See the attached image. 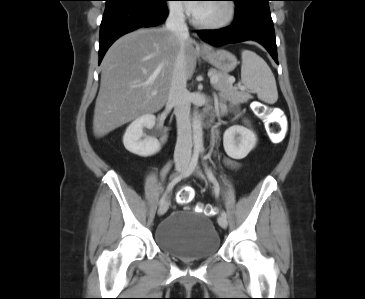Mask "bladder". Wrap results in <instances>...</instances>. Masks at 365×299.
Instances as JSON below:
<instances>
[{"instance_id": "obj_1", "label": "bladder", "mask_w": 365, "mask_h": 299, "mask_svg": "<svg viewBox=\"0 0 365 299\" xmlns=\"http://www.w3.org/2000/svg\"><path fill=\"white\" fill-rule=\"evenodd\" d=\"M154 241L164 252L185 260L206 258L220 248L213 221L184 209L174 210L156 226Z\"/></svg>"}]
</instances>
